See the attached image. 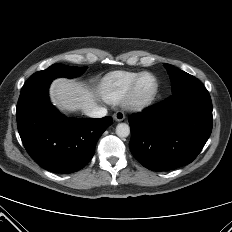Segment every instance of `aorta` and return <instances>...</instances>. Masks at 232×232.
I'll list each match as a JSON object with an SVG mask.
<instances>
[{"instance_id":"obj_1","label":"aorta","mask_w":232,"mask_h":232,"mask_svg":"<svg viewBox=\"0 0 232 232\" xmlns=\"http://www.w3.org/2000/svg\"><path fill=\"white\" fill-rule=\"evenodd\" d=\"M116 134L117 136L124 138L129 136L130 134V127L126 123H120L116 126Z\"/></svg>"}]
</instances>
